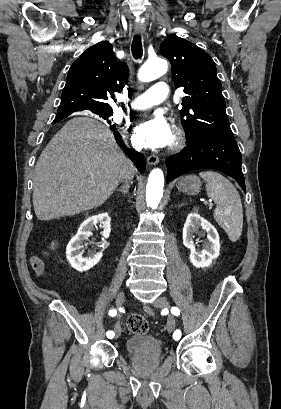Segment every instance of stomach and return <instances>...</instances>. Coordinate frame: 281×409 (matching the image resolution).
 Here are the masks:
<instances>
[{
  "instance_id": "stomach-1",
  "label": "stomach",
  "mask_w": 281,
  "mask_h": 409,
  "mask_svg": "<svg viewBox=\"0 0 281 409\" xmlns=\"http://www.w3.org/2000/svg\"><path fill=\"white\" fill-rule=\"evenodd\" d=\"M202 182L195 174H189V176H183L178 182L177 188L181 192H187V194H198L200 192Z\"/></svg>"
}]
</instances>
